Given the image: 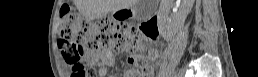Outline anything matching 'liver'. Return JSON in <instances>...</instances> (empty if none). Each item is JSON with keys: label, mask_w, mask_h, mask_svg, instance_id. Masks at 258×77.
I'll return each instance as SVG.
<instances>
[{"label": "liver", "mask_w": 258, "mask_h": 77, "mask_svg": "<svg viewBox=\"0 0 258 77\" xmlns=\"http://www.w3.org/2000/svg\"><path fill=\"white\" fill-rule=\"evenodd\" d=\"M139 0H74L79 12L89 20L99 19L110 12H116L123 8L135 5ZM172 0H163L170 4Z\"/></svg>", "instance_id": "obj_1"}]
</instances>
